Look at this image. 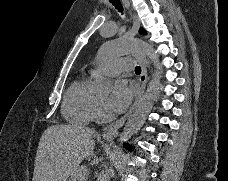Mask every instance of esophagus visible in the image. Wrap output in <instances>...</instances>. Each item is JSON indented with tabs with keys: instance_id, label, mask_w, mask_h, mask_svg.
Listing matches in <instances>:
<instances>
[{
	"instance_id": "obj_1",
	"label": "esophagus",
	"mask_w": 228,
	"mask_h": 181,
	"mask_svg": "<svg viewBox=\"0 0 228 181\" xmlns=\"http://www.w3.org/2000/svg\"><path fill=\"white\" fill-rule=\"evenodd\" d=\"M122 1L125 4L126 8L130 7V4H129L128 0H122ZM138 28H139L138 26L133 25L132 28H131V31H137ZM133 56L137 60H139L141 68H142L141 69V74L138 77V81H139V84H140V92L136 96L133 105L127 111V113L122 118H120V120L118 119V121H115V123H112V124L106 126V128H104L103 134H102L103 137H116L118 135V132H119L120 128H122V126L124 125V123L127 120V118H129V116L133 112L134 108L136 107L137 103L139 102L140 98L142 97V95L144 94V92L146 90L147 79H148L146 58H145L144 55H140L138 53H133Z\"/></svg>"
}]
</instances>
